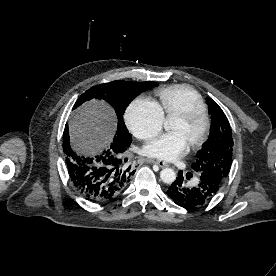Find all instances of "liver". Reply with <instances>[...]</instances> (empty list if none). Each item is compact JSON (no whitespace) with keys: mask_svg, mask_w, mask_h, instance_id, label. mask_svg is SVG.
<instances>
[{"mask_svg":"<svg viewBox=\"0 0 276 276\" xmlns=\"http://www.w3.org/2000/svg\"><path fill=\"white\" fill-rule=\"evenodd\" d=\"M115 125L114 112L104 102L83 104L69 121L73 149L85 155L95 154L111 143Z\"/></svg>","mask_w":276,"mask_h":276,"instance_id":"6515ba94","label":"liver"}]
</instances>
